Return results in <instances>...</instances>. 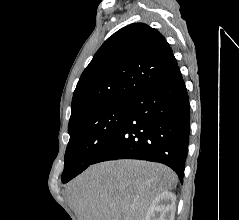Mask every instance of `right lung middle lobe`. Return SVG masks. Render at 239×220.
<instances>
[{"mask_svg":"<svg viewBox=\"0 0 239 220\" xmlns=\"http://www.w3.org/2000/svg\"><path fill=\"white\" fill-rule=\"evenodd\" d=\"M129 104H118L86 114L69 124L70 140L61 176L68 182L91 165L127 116Z\"/></svg>","mask_w":239,"mask_h":220,"instance_id":"dd1d6c3e","label":"right lung middle lobe"}]
</instances>
